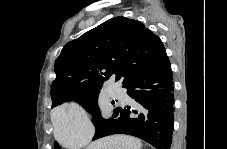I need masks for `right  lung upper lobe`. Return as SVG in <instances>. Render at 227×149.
<instances>
[{"label": "right lung upper lobe", "mask_w": 227, "mask_h": 149, "mask_svg": "<svg viewBox=\"0 0 227 149\" xmlns=\"http://www.w3.org/2000/svg\"><path fill=\"white\" fill-rule=\"evenodd\" d=\"M166 58L161 39L143 23L112 18L63 47L54 64L53 105L101 88L114 74L125 85Z\"/></svg>", "instance_id": "1"}]
</instances>
